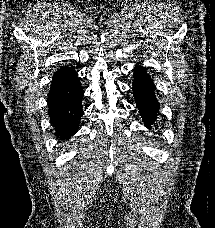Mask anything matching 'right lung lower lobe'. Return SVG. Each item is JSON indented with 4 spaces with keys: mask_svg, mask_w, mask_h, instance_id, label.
<instances>
[{
    "mask_svg": "<svg viewBox=\"0 0 215 228\" xmlns=\"http://www.w3.org/2000/svg\"><path fill=\"white\" fill-rule=\"evenodd\" d=\"M48 94V115L59 139L67 140L79 129L83 115V89L77 74L72 77L53 76Z\"/></svg>",
    "mask_w": 215,
    "mask_h": 228,
    "instance_id": "right-lung-lower-lobe-1",
    "label": "right lung lower lobe"
}]
</instances>
